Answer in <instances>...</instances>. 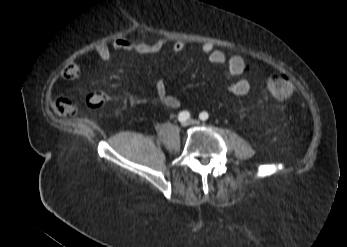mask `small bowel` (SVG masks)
Segmentation results:
<instances>
[{"label": "small bowel", "mask_w": 347, "mask_h": 247, "mask_svg": "<svg viewBox=\"0 0 347 247\" xmlns=\"http://www.w3.org/2000/svg\"><path fill=\"white\" fill-rule=\"evenodd\" d=\"M170 46L174 53H180L185 49V42L178 39L147 40L145 38H118L112 44V48L121 51H131L140 55H153ZM108 44H98L94 51L98 57L107 62L111 57V49ZM208 61L215 66H225V75L228 81L227 90L235 96H244L251 90V82L248 78V67L244 58L239 54L227 55L223 50L212 43H203L200 46ZM82 70L77 63H70L62 70V76L68 79H77ZM154 89L158 99L168 108H178L181 101L167 93V85L164 80L154 82ZM53 112L62 117H72L76 114V106L65 97H57L51 102Z\"/></svg>", "instance_id": "obj_1"}]
</instances>
